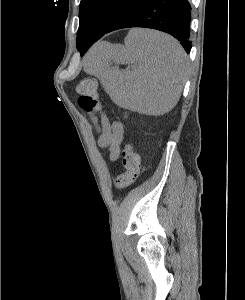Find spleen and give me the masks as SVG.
<instances>
[{"label":"spleen","mask_w":245,"mask_h":300,"mask_svg":"<svg viewBox=\"0 0 245 300\" xmlns=\"http://www.w3.org/2000/svg\"><path fill=\"white\" fill-rule=\"evenodd\" d=\"M115 64H134L122 72ZM187 55L173 37L131 29L124 45L100 43L87 55L84 71L97 77L119 107L148 115L170 111L187 77Z\"/></svg>","instance_id":"obj_1"}]
</instances>
